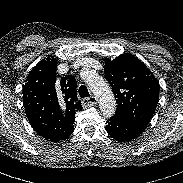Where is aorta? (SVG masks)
Wrapping results in <instances>:
<instances>
[{
    "mask_svg": "<svg viewBox=\"0 0 183 183\" xmlns=\"http://www.w3.org/2000/svg\"><path fill=\"white\" fill-rule=\"evenodd\" d=\"M86 83L98 98L102 114L107 118L113 116L116 110V102L114 94L106 80L96 72L91 71L86 78Z\"/></svg>",
    "mask_w": 183,
    "mask_h": 183,
    "instance_id": "762f6f07",
    "label": "aorta"
}]
</instances>
